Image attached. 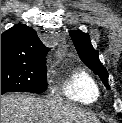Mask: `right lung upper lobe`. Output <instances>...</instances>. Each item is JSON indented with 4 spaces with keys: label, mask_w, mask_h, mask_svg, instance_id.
Segmentation results:
<instances>
[{
    "label": "right lung upper lobe",
    "mask_w": 122,
    "mask_h": 123,
    "mask_svg": "<svg viewBox=\"0 0 122 123\" xmlns=\"http://www.w3.org/2000/svg\"><path fill=\"white\" fill-rule=\"evenodd\" d=\"M48 51L36 31L26 25H15L1 35V57L46 60Z\"/></svg>",
    "instance_id": "right-lung-upper-lobe-1"
}]
</instances>
